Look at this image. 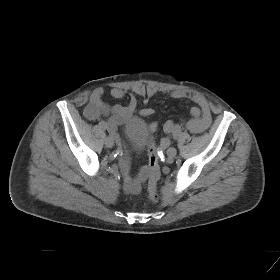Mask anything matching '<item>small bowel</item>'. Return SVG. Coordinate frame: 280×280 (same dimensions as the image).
<instances>
[{
	"label": "small bowel",
	"mask_w": 280,
	"mask_h": 280,
	"mask_svg": "<svg viewBox=\"0 0 280 280\" xmlns=\"http://www.w3.org/2000/svg\"><path fill=\"white\" fill-rule=\"evenodd\" d=\"M103 89H95L87 105L84 108V116L89 120H96L102 116L108 118V130L116 135L118 125L126 121L130 115L137 109V100L135 96L130 95L129 102L126 105H109L103 100ZM113 98L120 99L126 95V92L120 88H113L110 91ZM171 97L176 99H189L197 104L190 109L191 118L185 121L186 128L192 133H202L209 128L212 122V114L208 101L201 95L186 90H177L171 93ZM154 111L152 108H144L141 110L143 116H151ZM174 122L167 121L164 124V132L166 137L161 140V147H166L170 141L171 128ZM156 123L151 124V128L155 129ZM121 171L125 177V183L128 190H134L138 187L139 182L147 176V169H142L138 174L134 175L131 171V163L128 159H122L120 162Z\"/></svg>",
	"instance_id": "c3829d8e"
}]
</instances>
